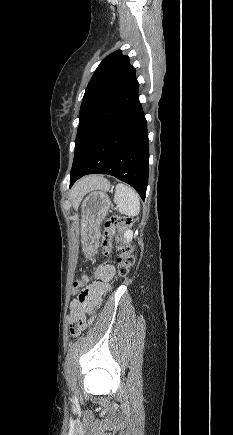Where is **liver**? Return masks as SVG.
Wrapping results in <instances>:
<instances>
[{
	"label": "liver",
	"instance_id": "6515ba94",
	"mask_svg": "<svg viewBox=\"0 0 233 435\" xmlns=\"http://www.w3.org/2000/svg\"><path fill=\"white\" fill-rule=\"evenodd\" d=\"M107 184V180L102 176H86L79 180L70 192V199L78 202L88 191L98 189Z\"/></svg>",
	"mask_w": 233,
	"mask_h": 435
}]
</instances>
